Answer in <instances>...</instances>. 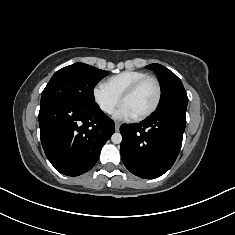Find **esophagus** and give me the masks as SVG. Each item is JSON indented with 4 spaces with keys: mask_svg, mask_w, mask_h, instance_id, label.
<instances>
[{
    "mask_svg": "<svg viewBox=\"0 0 235 235\" xmlns=\"http://www.w3.org/2000/svg\"><path fill=\"white\" fill-rule=\"evenodd\" d=\"M120 123L119 122H115V130L118 132L120 129Z\"/></svg>",
    "mask_w": 235,
    "mask_h": 235,
    "instance_id": "obj_1",
    "label": "esophagus"
}]
</instances>
